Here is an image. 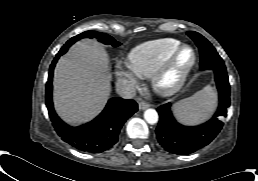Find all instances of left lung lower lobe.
<instances>
[{"mask_svg":"<svg viewBox=\"0 0 258 181\" xmlns=\"http://www.w3.org/2000/svg\"><path fill=\"white\" fill-rule=\"evenodd\" d=\"M216 87L219 93V107L208 122L195 127L183 126L174 119L171 104L157 108L160 119L156 128L160 145L168 152L177 155L191 154L208 145L220 132L230 105V86L226 70H214Z\"/></svg>","mask_w":258,"mask_h":181,"instance_id":"0a47b994","label":"left lung lower lobe"}]
</instances>
